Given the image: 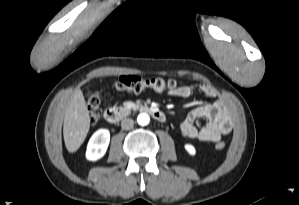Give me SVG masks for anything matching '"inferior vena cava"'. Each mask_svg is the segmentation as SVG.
<instances>
[{
	"mask_svg": "<svg viewBox=\"0 0 299 205\" xmlns=\"http://www.w3.org/2000/svg\"><path fill=\"white\" fill-rule=\"evenodd\" d=\"M133 126H134V121H133V119L125 118V119H123L122 122H121V127H122V129H124V130H130V129L133 128Z\"/></svg>",
	"mask_w": 299,
	"mask_h": 205,
	"instance_id": "obj_1",
	"label": "inferior vena cava"
}]
</instances>
